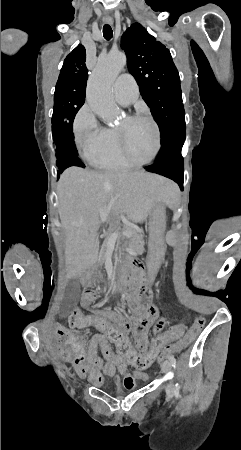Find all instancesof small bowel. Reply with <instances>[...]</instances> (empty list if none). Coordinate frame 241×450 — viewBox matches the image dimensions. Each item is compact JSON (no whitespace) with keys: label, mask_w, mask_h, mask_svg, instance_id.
<instances>
[{"label":"small bowel","mask_w":241,"mask_h":450,"mask_svg":"<svg viewBox=\"0 0 241 450\" xmlns=\"http://www.w3.org/2000/svg\"><path fill=\"white\" fill-rule=\"evenodd\" d=\"M81 304L84 308L90 309L94 307V302L97 299V293L89 287V284H83ZM128 307H144V311L133 313V323L131 324L127 318L129 311L122 309L120 313L112 310L99 311L94 309L107 318L106 324H118V333H127L129 329L133 331L134 347H148V337L145 325H152V333H157L163 325L170 323L168 316H155L157 305L154 298H128ZM139 314L140 316H136ZM88 316V315H87ZM96 325H81L76 328H85ZM184 331V330H179ZM57 335L64 336L67 333L66 328L61 327L55 330ZM105 333H97L93 335L89 341H86L85 336L69 332L67 333L66 342L60 354L71 360L75 366L77 373L81 376H88L89 381L94 385H99L103 381V376H113L119 373L123 376V386L128 389L136 387L135 379L147 381L149 376L142 371L129 370V362L123 361L122 356H112L113 348L109 347L108 342L104 339ZM129 338V337H128ZM130 341V339H129ZM131 342V341H130ZM55 347L60 345L58 340L52 343ZM101 352L102 357L98 355ZM162 352V351H161Z\"/></svg>","instance_id":"c3829d8e"}]
</instances>
